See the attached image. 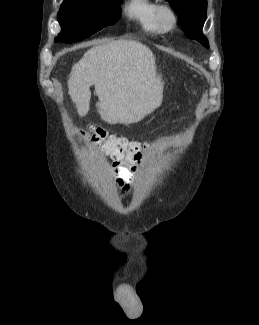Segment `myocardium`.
Wrapping results in <instances>:
<instances>
[{"instance_id":"obj_1","label":"myocardium","mask_w":259,"mask_h":325,"mask_svg":"<svg viewBox=\"0 0 259 325\" xmlns=\"http://www.w3.org/2000/svg\"><path fill=\"white\" fill-rule=\"evenodd\" d=\"M165 15H168L170 19L168 25L165 24L164 22ZM155 17H156L157 25L161 30V32L163 33L172 31L178 23V13L171 4H167V3L160 4L156 10Z\"/></svg>"}]
</instances>
